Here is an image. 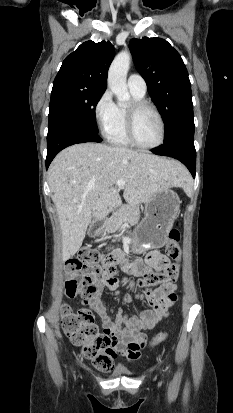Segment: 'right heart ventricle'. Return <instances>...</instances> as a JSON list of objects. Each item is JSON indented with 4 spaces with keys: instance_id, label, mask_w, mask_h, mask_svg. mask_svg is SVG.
<instances>
[{
    "instance_id": "e07e8e85",
    "label": "right heart ventricle",
    "mask_w": 233,
    "mask_h": 413,
    "mask_svg": "<svg viewBox=\"0 0 233 413\" xmlns=\"http://www.w3.org/2000/svg\"><path fill=\"white\" fill-rule=\"evenodd\" d=\"M134 101L142 100L144 96H139L131 92ZM126 111L127 107L122 105H116V114L112 126L105 134L109 143L120 146L130 147L132 143L128 139L126 131Z\"/></svg>"
}]
</instances>
